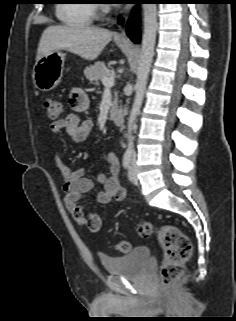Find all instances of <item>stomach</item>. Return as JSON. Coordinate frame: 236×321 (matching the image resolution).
<instances>
[{
    "mask_svg": "<svg viewBox=\"0 0 236 321\" xmlns=\"http://www.w3.org/2000/svg\"><path fill=\"white\" fill-rule=\"evenodd\" d=\"M66 54L55 50L41 57L33 67V82L44 92L51 91L61 81Z\"/></svg>",
    "mask_w": 236,
    "mask_h": 321,
    "instance_id": "stomach-1",
    "label": "stomach"
}]
</instances>
